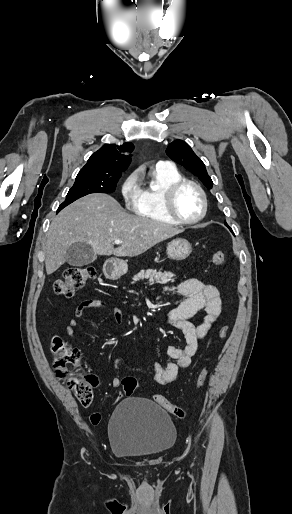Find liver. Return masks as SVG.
I'll return each mask as SVG.
<instances>
[{
    "instance_id": "liver-1",
    "label": "liver",
    "mask_w": 292,
    "mask_h": 514,
    "mask_svg": "<svg viewBox=\"0 0 292 514\" xmlns=\"http://www.w3.org/2000/svg\"><path fill=\"white\" fill-rule=\"evenodd\" d=\"M167 224L132 216L107 194H89L55 216L45 246L47 274L56 272L75 242H86L98 256H139L149 248L181 234ZM115 240L122 244L114 250Z\"/></svg>"
}]
</instances>
